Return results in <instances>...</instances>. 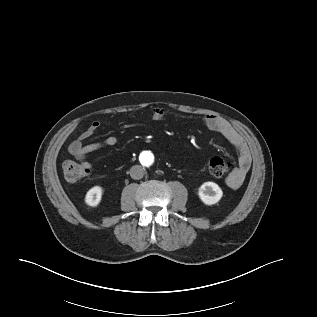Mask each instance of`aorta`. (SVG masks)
<instances>
[{
  "mask_svg": "<svg viewBox=\"0 0 317 317\" xmlns=\"http://www.w3.org/2000/svg\"><path fill=\"white\" fill-rule=\"evenodd\" d=\"M141 163L146 167H152L154 165V159L151 154H143L140 157Z\"/></svg>",
  "mask_w": 317,
  "mask_h": 317,
  "instance_id": "aorta-1",
  "label": "aorta"
}]
</instances>
